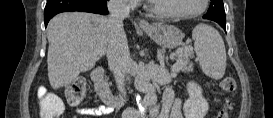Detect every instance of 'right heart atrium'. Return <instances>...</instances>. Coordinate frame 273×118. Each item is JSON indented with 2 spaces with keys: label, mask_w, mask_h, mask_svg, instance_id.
I'll return each mask as SVG.
<instances>
[{
  "label": "right heart atrium",
  "mask_w": 273,
  "mask_h": 118,
  "mask_svg": "<svg viewBox=\"0 0 273 118\" xmlns=\"http://www.w3.org/2000/svg\"><path fill=\"white\" fill-rule=\"evenodd\" d=\"M133 5H134V1H132V0L124 1V6H126V7H133Z\"/></svg>",
  "instance_id": "d8ad5b80"
}]
</instances>
